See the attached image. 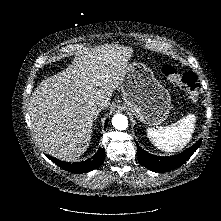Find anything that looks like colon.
<instances>
[{
    "instance_id": "1",
    "label": "colon",
    "mask_w": 221,
    "mask_h": 221,
    "mask_svg": "<svg viewBox=\"0 0 221 221\" xmlns=\"http://www.w3.org/2000/svg\"><path fill=\"white\" fill-rule=\"evenodd\" d=\"M161 71L163 76L168 81L177 84L183 90H185L190 100L195 101L199 99V84L194 73H180L175 67L171 65H164Z\"/></svg>"
}]
</instances>
